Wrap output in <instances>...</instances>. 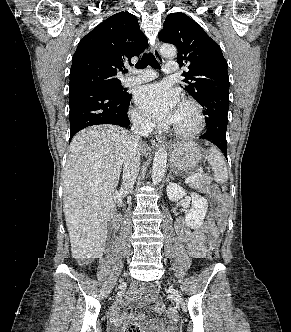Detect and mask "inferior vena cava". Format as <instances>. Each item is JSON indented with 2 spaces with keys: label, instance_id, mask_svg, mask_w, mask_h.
Wrapping results in <instances>:
<instances>
[{
  "label": "inferior vena cava",
  "instance_id": "1",
  "mask_svg": "<svg viewBox=\"0 0 291 332\" xmlns=\"http://www.w3.org/2000/svg\"><path fill=\"white\" fill-rule=\"evenodd\" d=\"M154 125L142 117H134L132 125V140L124 160L123 189L128 191L133 188L140 167V140L141 137H148Z\"/></svg>",
  "mask_w": 291,
  "mask_h": 332
}]
</instances>
